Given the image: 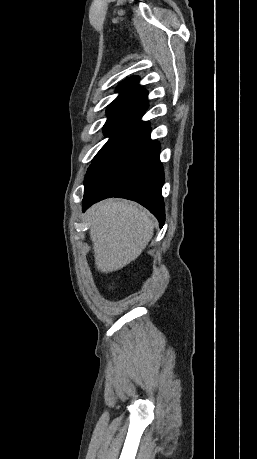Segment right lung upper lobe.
Instances as JSON below:
<instances>
[{"label":"right lung upper lobe","mask_w":257,"mask_h":459,"mask_svg":"<svg viewBox=\"0 0 257 459\" xmlns=\"http://www.w3.org/2000/svg\"><path fill=\"white\" fill-rule=\"evenodd\" d=\"M139 78L134 76L126 79L119 84L116 91L119 96L108 106L107 112H130L140 114L146 111L147 91H144L138 85Z\"/></svg>","instance_id":"right-lung-upper-lobe-1"}]
</instances>
